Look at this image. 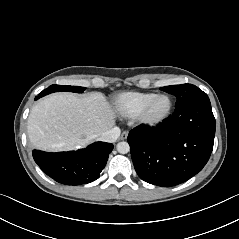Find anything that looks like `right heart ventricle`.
<instances>
[{
	"label": "right heart ventricle",
	"instance_id": "right-heart-ventricle-1",
	"mask_svg": "<svg viewBox=\"0 0 239 239\" xmlns=\"http://www.w3.org/2000/svg\"><path fill=\"white\" fill-rule=\"evenodd\" d=\"M154 95L149 92L128 91L116 96L113 104L121 116L135 117L144 103Z\"/></svg>",
	"mask_w": 239,
	"mask_h": 239
}]
</instances>
